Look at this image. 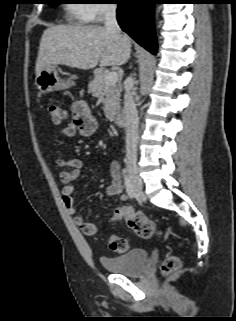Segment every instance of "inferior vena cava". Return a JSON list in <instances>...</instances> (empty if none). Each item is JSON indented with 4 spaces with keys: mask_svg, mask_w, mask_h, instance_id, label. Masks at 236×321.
I'll list each match as a JSON object with an SVG mask.
<instances>
[{
    "mask_svg": "<svg viewBox=\"0 0 236 321\" xmlns=\"http://www.w3.org/2000/svg\"><path fill=\"white\" fill-rule=\"evenodd\" d=\"M105 28L113 33L120 35L121 30L116 19V5L109 4L104 9ZM124 93V120H125V134H126V156L128 158H135L138 142V114L133 100L131 89L133 87L132 77L125 80Z\"/></svg>",
    "mask_w": 236,
    "mask_h": 321,
    "instance_id": "obj_1",
    "label": "inferior vena cava"
}]
</instances>
